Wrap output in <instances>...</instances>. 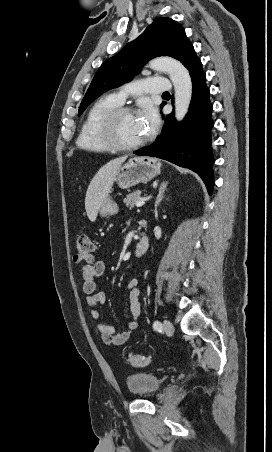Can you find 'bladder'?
Segmentation results:
<instances>
[{
  "mask_svg": "<svg viewBox=\"0 0 272 452\" xmlns=\"http://www.w3.org/2000/svg\"><path fill=\"white\" fill-rule=\"evenodd\" d=\"M126 387L129 394L147 397L156 393L161 386V379L150 372H134L126 376Z\"/></svg>",
  "mask_w": 272,
  "mask_h": 452,
  "instance_id": "obj_1",
  "label": "bladder"
}]
</instances>
